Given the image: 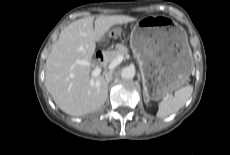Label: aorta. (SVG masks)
Here are the masks:
<instances>
[{"label":"aorta","mask_w":230,"mask_h":155,"mask_svg":"<svg viewBox=\"0 0 230 155\" xmlns=\"http://www.w3.org/2000/svg\"><path fill=\"white\" fill-rule=\"evenodd\" d=\"M123 79H133L135 77V68L132 66L124 67L121 71Z\"/></svg>","instance_id":"762f6f07"}]
</instances>
